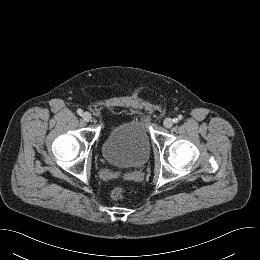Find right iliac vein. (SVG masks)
<instances>
[{"instance_id":"right-iliac-vein-1","label":"right iliac vein","mask_w":260,"mask_h":260,"mask_svg":"<svg viewBox=\"0 0 260 260\" xmlns=\"http://www.w3.org/2000/svg\"><path fill=\"white\" fill-rule=\"evenodd\" d=\"M82 118H83V120H84L85 122H89L90 119H91V114H90L89 112H84V113L82 114Z\"/></svg>"}]
</instances>
